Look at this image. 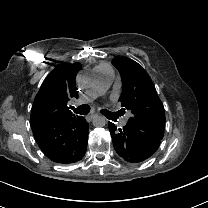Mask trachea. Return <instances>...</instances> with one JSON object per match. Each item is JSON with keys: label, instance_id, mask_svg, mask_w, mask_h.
<instances>
[{"label": "trachea", "instance_id": "1", "mask_svg": "<svg viewBox=\"0 0 208 208\" xmlns=\"http://www.w3.org/2000/svg\"><path fill=\"white\" fill-rule=\"evenodd\" d=\"M71 109L80 115H87L90 112V107L86 104H83L81 106H78L77 108L71 106Z\"/></svg>", "mask_w": 208, "mask_h": 208}]
</instances>
